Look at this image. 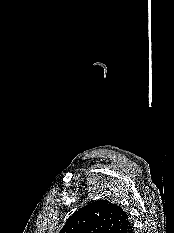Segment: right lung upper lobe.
<instances>
[{
  "instance_id": "cb5924a9",
  "label": "right lung upper lobe",
  "mask_w": 174,
  "mask_h": 233,
  "mask_svg": "<svg viewBox=\"0 0 174 233\" xmlns=\"http://www.w3.org/2000/svg\"><path fill=\"white\" fill-rule=\"evenodd\" d=\"M59 233H134L129 216L107 200H96L70 216Z\"/></svg>"
}]
</instances>
